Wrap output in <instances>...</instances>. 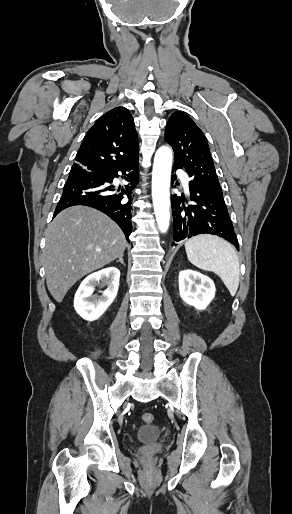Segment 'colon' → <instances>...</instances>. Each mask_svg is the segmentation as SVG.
Instances as JSON below:
<instances>
[{
	"label": "colon",
	"instance_id": "colon-1",
	"mask_svg": "<svg viewBox=\"0 0 292 514\" xmlns=\"http://www.w3.org/2000/svg\"><path fill=\"white\" fill-rule=\"evenodd\" d=\"M141 418L145 424H151L154 421V415L149 411L143 412Z\"/></svg>",
	"mask_w": 292,
	"mask_h": 514
}]
</instances>
